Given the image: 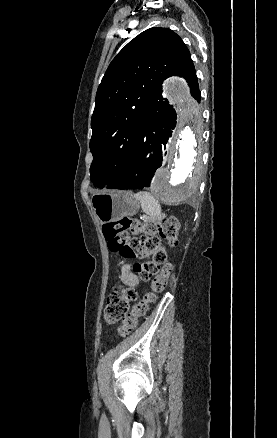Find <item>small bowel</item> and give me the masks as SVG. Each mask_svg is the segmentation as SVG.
Here are the masks:
<instances>
[{"label":"small bowel","instance_id":"c3829d8e","mask_svg":"<svg viewBox=\"0 0 277 438\" xmlns=\"http://www.w3.org/2000/svg\"><path fill=\"white\" fill-rule=\"evenodd\" d=\"M139 280L131 271L130 264L126 263L121 268V283L125 286H136Z\"/></svg>","mask_w":277,"mask_h":438}]
</instances>
